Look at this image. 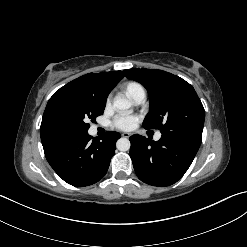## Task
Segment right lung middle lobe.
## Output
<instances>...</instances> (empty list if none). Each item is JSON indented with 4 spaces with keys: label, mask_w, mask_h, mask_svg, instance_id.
<instances>
[{
    "label": "right lung middle lobe",
    "mask_w": 247,
    "mask_h": 247,
    "mask_svg": "<svg viewBox=\"0 0 247 247\" xmlns=\"http://www.w3.org/2000/svg\"><path fill=\"white\" fill-rule=\"evenodd\" d=\"M105 102L84 91H74L58 98L45 117L47 130L61 140L81 138L90 127L88 121L103 114Z\"/></svg>",
    "instance_id": "right-lung-middle-lobe-1"
}]
</instances>
